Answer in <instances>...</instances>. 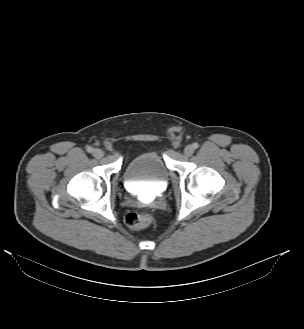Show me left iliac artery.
<instances>
[{"mask_svg": "<svg viewBox=\"0 0 304 329\" xmlns=\"http://www.w3.org/2000/svg\"><path fill=\"white\" fill-rule=\"evenodd\" d=\"M192 146H193L194 149H197L199 147L198 143H193Z\"/></svg>", "mask_w": 304, "mask_h": 329, "instance_id": "left-iliac-artery-1", "label": "left iliac artery"}]
</instances>
